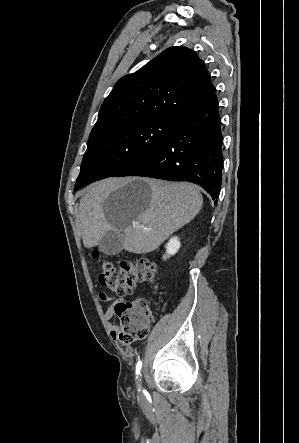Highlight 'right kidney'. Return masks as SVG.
<instances>
[{
    "label": "right kidney",
    "mask_w": 299,
    "mask_h": 443,
    "mask_svg": "<svg viewBox=\"0 0 299 443\" xmlns=\"http://www.w3.org/2000/svg\"><path fill=\"white\" fill-rule=\"evenodd\" d=\"M180 241L178 239V237H172L168 243L166 244V255L163 256L164 259H166L167 257L174 255L175 253H177L178 249L180 248Z\"/></svg>",
    "instance_id": "1"
}]
</instances>
